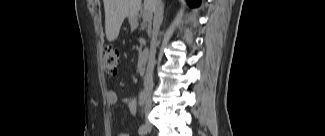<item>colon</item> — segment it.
Masks as SVG:
<instances>
[{"instance_id": "colon-1", "label": "colon", "mask_w": 325, "mask_h": 136, "mask_svg": "<svg viewBox=\"0 0 325 136\" xmlns=\"http://www.w3.org/2000/svg\"><path fill=\"white\" fill-rule=\"evenodd\" d=\"M104 70L108 74H116L119 65V52L116 48L106 45L102 49Z\"/></svg>"}]
</instances>
